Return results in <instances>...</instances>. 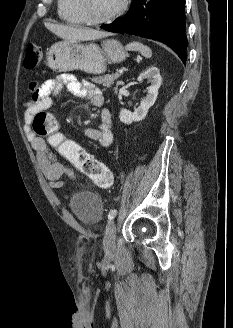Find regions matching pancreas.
Listing matches in <instances>:
<instances>
[{
	"mask_svg": "<svg viewBox=\"0 0 233 328\" xmlns=\"http://www.w3.org/2000/svg\"><path fill=\"white\" fill-rule=\"evenodd\" d=\"M121 76L119 73L108 74L100 77H93L91 81L97 84H102L104 87L110 88L114 82Z\"/></svg>",
	"mask_w": 233,
	"mask_h": 328,
	"instance_id": "obj_1",
	"label": "pancreas"
}]
</instances>
